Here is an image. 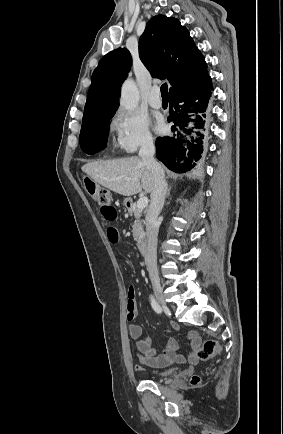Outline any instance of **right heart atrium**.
<instances>
[{
	"mask_svg": "<svg viewBox=\"0 0 283 434\" xmlns=\"http://www.w3.org/2000/svg\"><path fill=\"white\" fill-rule=\"evenodd\" d=\"M113 130L116 147L125 153H133L153 142L148 120L134 112H118Z\"/></svg>",
	"mask_w": 283,
	"mask_h": 434,
	"instance_id": "obj_1",
	"label": "right heart atrium"
}]
</instances>
